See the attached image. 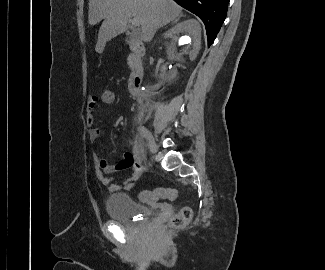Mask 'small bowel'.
<instances>
[{"label": "small bowel", "instance_id": "obj_1", "mask_svg": "<svg viewBox=\"0 0 325 270\" xmlns=\"http://www.w3.org/2000/svg\"><path fill=\"white\" fill-rule=\"evenodd\" d=\"M101 96H103L101 94ZM115 96V95H114ZM99 98L91 96L88 99L86 108V124L89 127L88 136L92 141L97 140L101 136V130L93 127L94 113L98 107ZM111 105L113 103H103ZM136 156L133 152H125L121 155L116 164H109L100 155H93V162L98 180L105 185L109 191L130 190L134 187L135 181L140 177L141 171L136 167ZM131 170V174L121 182H114L110 176L114 172Z\"/></svg>", "mask_w": 325, "mask_h": 270}]
</instances>
